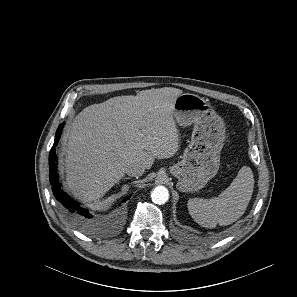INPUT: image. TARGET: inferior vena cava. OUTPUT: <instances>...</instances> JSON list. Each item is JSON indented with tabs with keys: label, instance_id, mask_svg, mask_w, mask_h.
<instances>
[{
	"label": "inferior vena cava",
	"instance_id": "inferior-vena-cava-1",
	"mask_svg": "<svg viewBox=\"0 0 297 297\" xmlns=\"http://www.w3.org/2000/svg\"><path fill=\"white\" fill-rule=\"evenodd\" d=\"M144 171L145 168L142 165L136 163H130L125 168V173L132 177H139L144 173Z\"/></svg>",
	"mask_w": 297,
	"mask_h": 297
}]
</instances>
